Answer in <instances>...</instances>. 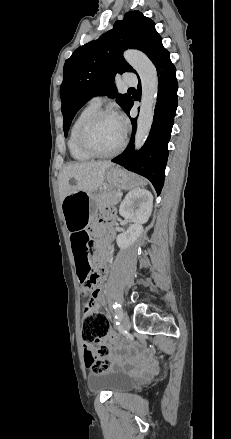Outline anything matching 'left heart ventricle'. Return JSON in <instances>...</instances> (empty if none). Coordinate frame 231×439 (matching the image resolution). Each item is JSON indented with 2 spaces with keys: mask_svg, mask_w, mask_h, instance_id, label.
I'll return each instance as SVG.
<instances>
[{
  "mask_svg": "<svg viewBox=\"0 0 231 439\" xmlns=\"http://www.w3.org/2000/svg\"><path fill=\"white\" fill-rule=\"evenodd\" d=\"M123 131L115 117L105 116L97 120L90 128L87 138L98 152H109L121 142Z\"/></svg>",
  "mask_w": 231,
  "mask_h": 439,
  "instance_id": "b2bd125f",
  "label": "left heart ventricle"
}]
</instances>
